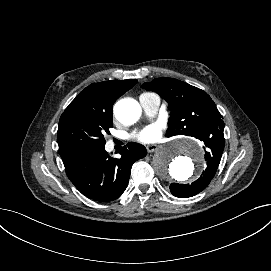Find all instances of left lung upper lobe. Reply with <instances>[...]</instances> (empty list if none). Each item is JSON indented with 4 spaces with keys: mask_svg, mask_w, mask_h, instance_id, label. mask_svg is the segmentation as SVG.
Segmentation results:
<instances>
[{
    "mask_svg": "<svg viewBox=\"0 0 271 271\" xmlns=\"http://www.w3.org/2000/svg\"><path fill=\"white\" fill-rule=\"evenodd\" d=\"M143 87L169 103L167 137L188 135L203 142L225 144L222 115L205 91L173 78H155Z\"/></svg>",
    "mask_w": 271,
    "mask_h": 271,
    "instance_id": "left-lung-upper-lobe-1",
    "label": "left lung upper lobe"
}]
</instances>
